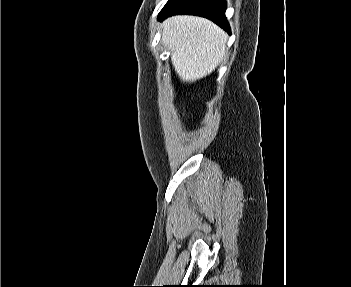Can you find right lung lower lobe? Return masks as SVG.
<instances>
[{
  "label": "right lung lower lobe",
  "mask_w": 351,
  "mask_h": 287,
  "mask_svg": "<svg viewBox=\"0 0 351 287\" xmlns=\"http://www.w3.org/2000/svg\"><path fill=\"white\" fill-rule=\"evenodd\" d=\"M225 0H169L159 14V20L176 14H189L208 18L230 33L225 17Z\"/></svg>",
  "instance_id": "obj_1"
}]
</instances>
